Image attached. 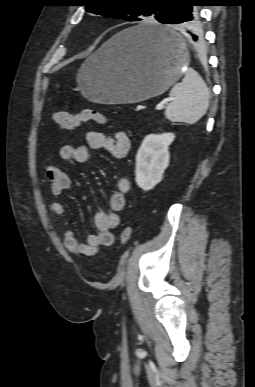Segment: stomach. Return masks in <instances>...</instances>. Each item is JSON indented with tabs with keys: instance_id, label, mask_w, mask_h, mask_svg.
<instances>
[{
	"instance_id": "obj_1",
	"label": "stomach",
	"mask_w": 255,
	"mask_h": 387,
	"mask_svg": "<svg viewBox=\"0 0 255 387\" xmlns=\"http://www.w3.org/2000/svg\"><path fill=\"white\" fill-rule=\"evenodd\" d=\"M161 30L169 43L143 36ZM189 60L181 37L158 24L141 23L109 39L80 67L77 83L84 97L97 103H136L165 92L183 75Z\"/></svg>"
}]
</instances>
